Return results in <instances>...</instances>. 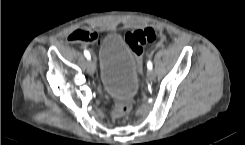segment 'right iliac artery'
Masks as SVG:
<instances>
[{"label": "right iliac artery", "instance_id": "right-iliac-artery-1", "mask_svg": "<svg viewBox=\"0 0 245 145\" xmlns=\"http://www.w3.org/2000/svg\"><path fill=\"white\" fill-rule=\"evenodd\" d=\"M84 55H85V57H86L88 60H90L91 56H90V53H89L87 50L84 51Z\"/></svg>", "mask_w": 245, "mask_h": 145}]
</instances>
